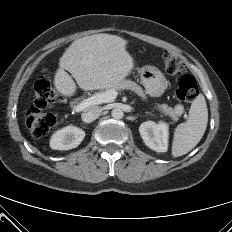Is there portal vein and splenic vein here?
I'll list each match as a JSON object with an SVG mask.
<instances>
[{"instance_id":"portal-vein-and-splenic-vein-1","label":"portal vein and splenic vein","mask_w":232,"mask_h":232,"mask_svg":"<svg viewBox=\"0 0 232 232\" xmlns=\"http://www.w3.org/2000/svg\"><path fill=\"white\" fill-rule=\"evenodd\" d=\"M117 95H118V92L116 90H109V91L104 92V93H99V94L93 95V96L83 100L78 105L74 106V110L76 112H80V111H83V110L89 108L90 106H93V105H99L102 103L112 102L115 100Z\"/></svg>"}]
</instances>
